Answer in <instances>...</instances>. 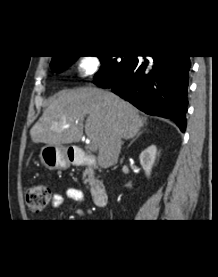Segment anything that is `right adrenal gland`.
Listing matches in <instances>:
<instances>
[{
	"label": "right adrenal gland",
	"mask_w": 218,
	"mask_h": 277,
	"mask_svg": "<svg viewBox=\"0 0 218 277\" xmlns=\"http://www.w3.org/2000/svg\"><path fill=\"white\" fill-rule=\"evenodd\" d=\"M143 131L139 132L137 136L130 142L129 146L142 134Z\"/></svg>",
	"instance_id": "obj_1"
}]
</instances>
